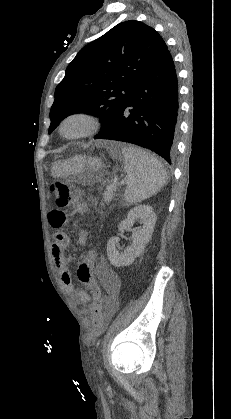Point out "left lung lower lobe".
<instances>
[{"label": "left lung lower lobe", "instance_id": "obj_1", "mask_svg": "<svg viewBox=\"0 0 231 419\" xmlns=\"http://www.w3.org/2000/svg\"><path fill=\"white\" fill-rule=\"evenodd\" d=\"M178 81L168 51L128 93L110 125L94 139L134 143L171 164L178 132Z\"/></svg>", "mask_w": 231, "mask_h": 419}]
</instances>
